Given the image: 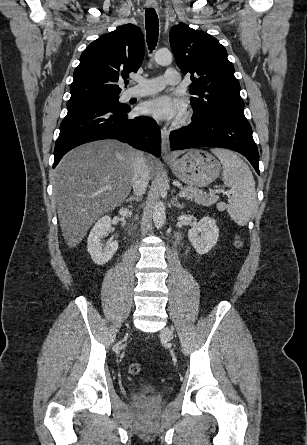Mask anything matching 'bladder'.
Returning <instances> with one entry per match:
<instances>
[{"instance_id": "1", "label": "bladder", "mask_w": 307, "mask_h": 445, "mask_svg": "<svg viewBox=\"0 0 307 445\" xmlns=\"http://www.w3.org/2000/svg\"><path fill=\"white\" fill-rule=\"evenodd\" d=\"M145 390L151 392L155 390V387L153 385H147L145 386Z\"/></svg>"}]
</instances>
